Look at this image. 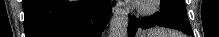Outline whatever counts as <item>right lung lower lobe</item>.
<instances>
[{"label":"right lung lower lobe","instance_id":"1","mask_svg":"<svg viewBox=\"0 0 219 37\" xmlns=\"http://www.w3.org/2000/svg\"><path fill=\"white\" fill-rule=\"evenodd\" d=\"M25 37H100L109 0H23Z\"/></svg>","mask_w":219,"mask_h":37}]
</instances>
